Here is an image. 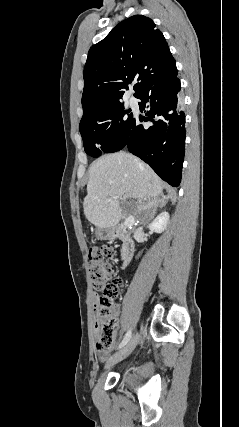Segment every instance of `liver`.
Wrapping results in <instances>:
<instances>
[{"mask_svg":"<svg viewBox=\"0 0 239 427\" xmlns=\"http://www.w3.org/2000/svg\"><path fill=\"white\" fill-rule=\"evenodd\" d=\"M160 196L163 197V182L150 166L126 152L107 154L89 168L84 214L97 228H114L131 214L123 210L120 201L136 199V215L163 205Z\"/></svg>","mask_w":239,"mask_h":427,"instance_id":"1","label":"liver"}]
</instances>
